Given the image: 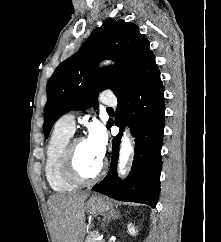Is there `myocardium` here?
<instances>
[{
  "mask_svg": "<svg viewBox=\"0 0 221 242\" xmlns=\"http://www.w3.org/2000/svg\"><path fill=\"white\" fill-rule=\"evenodd\" d=\"M81 140L83 138H74L68 142L63 156V172L69 180L75 183H91L102 175L106 163L102 160L98 169L92 175H84L81 173L76 164V144Z\"/></svg>",
  "mask_w": 221,
  "mask_h": 242,
  "instance_id": "1",
  "label": "myocardium"
}]
</instances>
